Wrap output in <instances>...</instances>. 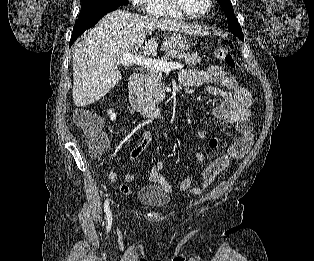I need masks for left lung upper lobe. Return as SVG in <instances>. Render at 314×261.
I'll return each instance as SVG.
<instances>
[{
  "label": "left lung upper lobe",
  "instance_id": "5c2ea615",
  "mask_svg": "<svg viewBox=\"0 0 314 261\" xmlns=\"http://www.w3.org/2000/svg\"><path fill=\"white\" fill-rule=\"evenodd\" d=\"M217 2L222 7L225 16L228 20V28L230 32H232L234 35H236L240 40L244 41L243 33L240 24L238 23L233 7L230 0H217Z\"/></svg>",
  "mask_w": 314,
  "mask_h": 261
}]
</instances>
